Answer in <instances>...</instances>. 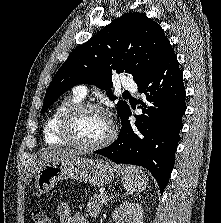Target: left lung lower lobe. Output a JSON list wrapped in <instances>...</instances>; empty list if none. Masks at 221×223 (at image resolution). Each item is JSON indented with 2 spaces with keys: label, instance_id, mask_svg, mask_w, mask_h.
I'll use <instances>...</instances> for the list:
<instances>
[{
  "label": "left lung lower lobe",
  "instance_id": "0a47b994",
  "mask_svg": "<svg viewBox=\"0 0 221 223\" xmlns=\"http://www.w3.org/2000/svg\"><path fill=\"white\" fill-rule=\"evenodd\" d=\"M139 92L150 102L135 123L128 120V108L121 118L122 127L118 138L108 147L94 153L113 162L139 165L147 168L163 192L169 181L175 151L185 113V88L183 75L172 46L153 72L138 84Z\"/></svg>",
  "mask_w": 221,
  "mask_h": 223
}]
</instances>
